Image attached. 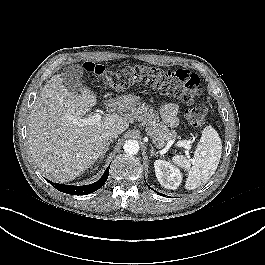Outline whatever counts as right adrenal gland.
Here are the masks:
<instances>
[{"label":"right adrenal gland","instance_id":"2a0ac1e0","mask_svg":"<svg viewBox=\"0 0 265 265\" xmlns=\"http://www.w3.org/2000/svg\"><path fill=\"white\" fill-rule=\"evenodd\" d=\"M113 142V140H110L107 145H106V148L105 150L103 151V154L101 155L100 159L104 158L105 154L107 153V151L109 150V146L110 144Z\"/></svg>","mask_w":265,"mask_h":265}]
</instances>
